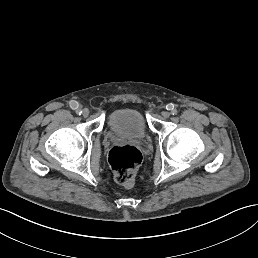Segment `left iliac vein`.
<instances>
[{
    "instance_id": "1",
    "label": "left iliac vein",
    "mask_w": 258,
    "mask_h": 258,
    "mask_svg": "<svg viewBox=\"0 0 258 258\" xmlns=\"http://www.w3.org/2000/svg\"><path fill=\"white\" fill-rule=\"evenodd\" d=\"M163 116L165 119H167V118H169L170 114H169V112L166 111V112H164Z\"/></svg>"
}]
</instances>
